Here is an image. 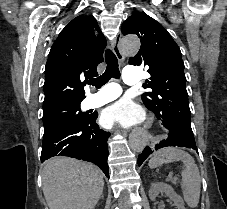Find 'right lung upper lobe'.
I'll return each instance as SVG.
<instances>
[{"instance_id": "1", "label": "right lung upper lobe", "mask_w": 227, "mask_h": 209, "mask_svg": "<svg viewBox=\"0 0 227 209\" xmlns=\"http://www.w3.org/2000/svg\"><path fill=\"white\" fill-rule=\"evenodd\" d=\"M95 29L99 30L97 21L81 15L60 32L45 67L43 106L85 98L84 81L98 75L106 45L104 35L95 36Z\"/></svg>"}]
</instances>
